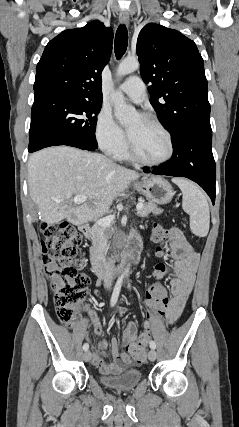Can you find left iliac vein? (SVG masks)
Instances as JSON below:
<instances>
[{"instance_id": "4c4485c4", "label": "left iliac vein", "mask_w": 239, "mask_h": 427, "mask_svg": "<svg viewBox=\"0 0 239 427\" xmlns=\"http://www.w3.org/2000/svg\"><path fill=\"white\" fill-rule=\"evenodd\" d=\"M157 357L156 351L154 349H151L148 353V358L150 361H154Z\"/></svg>"}]
</instances>
